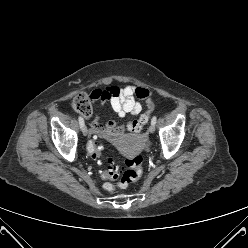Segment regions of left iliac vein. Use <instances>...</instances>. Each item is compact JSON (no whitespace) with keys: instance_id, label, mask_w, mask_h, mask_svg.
Returning <instances> with one entry per match:
<instances>
[{"instance_id":"left-iliac-vein-1","label":"left iliac vein","mask_w":248,"mask_h":248,"mask_svg":"<svg viewBox=\"0 0 248 248\" xmlns=\"http://www.w3.org/2000/svg\"><path fill=\"white\" fill-rule=\"evenodd\" d=\"M149 131H150V133H154V131H155V125L150 124Z\"/></svg>"}]
</instances>
